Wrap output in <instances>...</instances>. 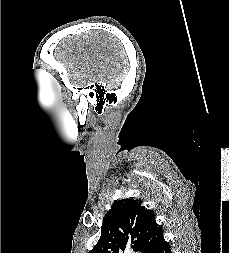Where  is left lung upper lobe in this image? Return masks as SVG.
Here are the masks:
<instances>
[{"label": "left lung upper lobe", "instance_id": "obj_1", "mask_svg": "<svg viewBox=\"0 0 229 253\" xmlns=\"http://www.w3.org/2000/svg\"><path fill=\"white\" fill-rule=\"evenodd\" d=\"M162 239L155 214L141 200H117L106 213L101 237L90 253H123L128 243L134 251L153 253Z\"/></svg>", "mask_w": 229, "mask_h": 253}]
</instances>
